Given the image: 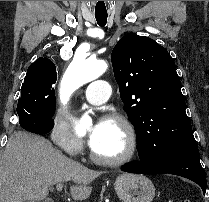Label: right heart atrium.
<instances>
[{
  "mask_svg": "<svg viewBox=\"0 0 209 202\" xmlns=\"http://www.w3.org/2000/svg\"><path fill=\"white\" fill-rule=\"evenodd\" d=\"M50 137L63 151L71 156L78 155L84 146L83 139L77 135L72 127L58 118H54L51 124ZM68 165L75 167V163L69 160Z\"/></svg>",
  "mask_w": 209,
  "mask_h": 202,
  "instance_id": "obj_1",
  "label": "right heart atrium"
}]
</instances>
